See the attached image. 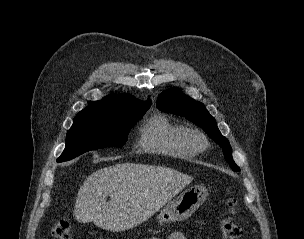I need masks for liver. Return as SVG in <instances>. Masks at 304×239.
Instances as JSON below:
<instances>
[{"label":"liver","mask_w":304,"mask_h":239,"mask_svg":"<svg viewBox=\"0 0 304 239\" xmlns=\"http://www.w3.org/2000/svg\"><path fill=\"white\" fill-rule=\"evenodd\" d=\"M192 180L172 168L115 164L85 179L77 194L74 216L78 222H93L104 230H128L148 220Z\"/></svg>","instance_id":"liver-1"}]
</instances>
